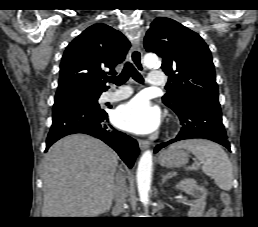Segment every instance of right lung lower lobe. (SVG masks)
<instances>
[{"instance_id": "1", "label": "right lung lower lobe", "mask_w": 258, "mask_h": 227, "mask_svg": "<svg viewBox=\"0 0 258 227\" xmlns=\"http://www.w3.org/2000/svg\"><path fill=\"white\" fill-rule=\"evenodd\" d=\"M108 114L100 109L70 100L54 105L53 122L47 137L46 151L60 138L74 133H85L101 139L112 147L121 159L132 167L139 153L135 139L107 126Z\"/></svg>"}]
</instances>
